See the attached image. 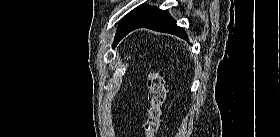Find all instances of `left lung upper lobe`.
Listing matches in <instances>:
<instances>
[{
  "label": "left lung upper lobe",
  "instance_id": "1",
  "mask_svg": "<svg viewBox=\"0 0 280 137\" xmlns=\"http://www.w3.org/2000/svg\"><path fill=\"white\" fill-rule=\"evenodd\" d=\"M155 7H149L146 4H142L135 9H133L129 14H127L122 21L119 23L117 28V33L113 42V48L119 43L123 38L126 31L135 23L140 21L148 13H150Z\"/></svg>",
  "mask_w": 280,
  "mask_h": 137
}]
</instances>
